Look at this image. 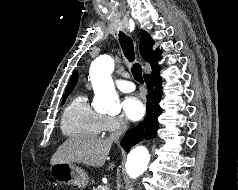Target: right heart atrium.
Listing matches in <instances>:
<instances>
[{
	"mask_svg": "<svg viewBox=\"0 0 238 190\" xmlns=\"http://www.w3.org/2000/svg\"><path fill=\"white\" fill-rule=\"evenodd\" d=\"M126 127V121L119 115L104 116L103 131L116 132Z\"/></svg>",
	"mask_w": 238,
	"mask_h": 190,
	"instance_id": "d8ad5b80",
	"label": "right heart atrium"
}]
</instances>
